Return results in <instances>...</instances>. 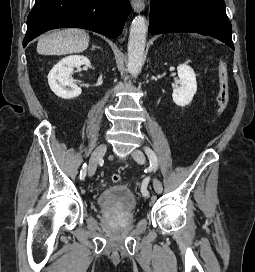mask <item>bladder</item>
<instances>
[{
    "label": "bladder",
    "instance_id": "1",
    "mask_svg": "<svg viewBox=\"0 0 255 272\" xmlns=\"http://www.w3.org/2000/svg\"><path fill=\"white\" fill-rule=\"evenodd\" d=\"M96 202L103 208L131 211L135 209L137 199L126 185H111L97 195Z\"/></svg>",
    "mask_w": 255,
    "mask_h": 272
}]
</instances>
